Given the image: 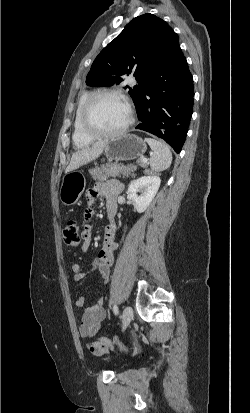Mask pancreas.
Returning <instances> with one entry per match:
<instances>
[{"mask_svg":"<svg viewBox=\"0 0 250 413\" xmlns=\"http://www.w3.org/2000/svg\"><path fill=\"white\" fill-rule=\"evenodd\" d=\"M137 163L142 167L147 166L142 159H138ZM136 169L137 167L133 164L124 166L119 163H107L106 165L96 166L95 168L90 169L89 173L91 174L94 180L98 182H103L106 181L109 177H118L121 175L123 177H128L130 175L133 176V172Z\"/></svg>","mask_w":250,"mask_h":413,"instance_id":"obj_1","label":"pancreas"}]
</instances>
